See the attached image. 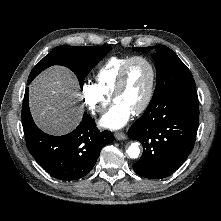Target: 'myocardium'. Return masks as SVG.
Returning <instances> with one entry per match:
<instances>
[{
    "instance_id": "obj_1",
    "label": "myocardium",
    "mask_w": 221,
    "mask_h": 221,
    "mask_svg": "<svg viewBox=\"0 0 221 221\" xmlns=\"http://www.w3.org/2000/svg\"><path fill=\"white\" fill-rule=\"evenodd\" d=\"M135 61H142L144 62L149 70H150V74H151V78H150V84H149V88L147 91V94L143 100V102L141 103V105L133 112L134 115H139L141 113H143L148 106L151 103V100L153 98L154 95V90H155V85H156V69L154 64L152 63V61L150 59H148L145 56L142 55H135L130 57L122 66L118 79H117V83L114 89V92L112 94V100L113 102L115 101L116 97L123 91L124 87H125V83H126V77H127V72L128 69L130 67V65L135 62Z\"/></svg>"
}]
</instances>
